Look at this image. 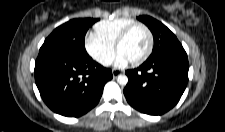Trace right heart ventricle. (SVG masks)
<instances>
[{
  "instance_id": "e07e8e85",
  "label": "right heart ventricle",
  "mask_w": 225,
  "mask_h": 132,
  "mask_svg": "<svg viewBox=\"0 0 225 132\" xmlns=\"http://www.w3.org/2000/svg\"><path fill=\"white\" fill-rule=\"evenodd\" d=\"M135 23L137 22L131 18L103 20L95 24L94 35L102 42L114 46L118 36Z\"/></svg>"
}]
</instances>
